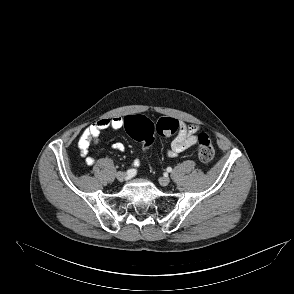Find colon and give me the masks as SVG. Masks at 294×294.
Masks as SVG:
<instances>
[{
    "instance_id": "1",
    "label": "colon",
    "mask_w": 294,
    "mask_h": 294,
    "mask_svg": "<svg viewBox=\"0 0 294 294\" xmlns=\"http://www.w3.org/2000/svg\"><path fill=\"white\" fill-rule=\"evenodd\" d=\"M127 133L136 141L142 143L144 149L148 150L154 143L155 134L168 136L174 134L179 128V122L174 118L163 117L153 123L143 115L126 116L124 122ZM198 158L204 163L213 160L215 156L214 146L205 133L197 136Z\"/></svg>"
}]
</instances>
